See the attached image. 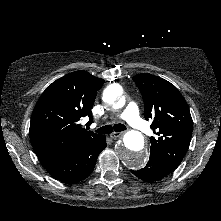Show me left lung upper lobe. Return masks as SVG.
<instances>
[{
	"instance_id": "1",
	"label": "left lung upper lobe",
	"mask_w": 221,
	"mask_h": 221,
	"mask_svg": "<svg viewBox=\"0 0 221 221\" xmlns=\"http://www.w3.org/2000/svg\"><path fill=\"white\" fill-rule=\"evenodd\" d=\"M132 79L143 97L145 119H153L156 136L150 138V156L172 172L189 148L193 130L189 107L178 89L162 78L141 73Z\"/></svg>"
}]
</instances>
